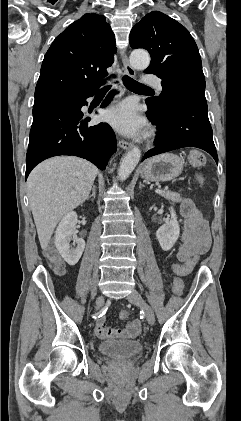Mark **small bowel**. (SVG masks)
<instances>
[{
    "instance_id": "1",
    "label": "small bowel",
    "mask_w": 241,
    "mask_h": 421,
    "mask_svg": "<svg viewBox=\"0 0 241 421\" xmlns=\"http://www.w3.org/2000/svg\"><path fill=\"white\" fill-rule=\"evenodd\" d=\"M181 214L184 218L182 232V245L177 257L180 261L193 256L205 254L211 244L210 231L207 222L202 218L200 210L190 198H184L180 205ZM141 330L139 320L128 322L125 328L116 329L106 326V317L98 318L95 325V334L100 339H134Z\"/></svg>"
}]
</instances>
